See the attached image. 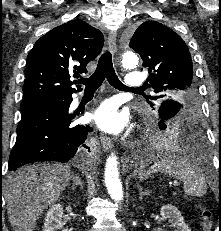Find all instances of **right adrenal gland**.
Segmentation results:
<instances>
[{
    "label": "right adrenal gland",
    "instance_id": "obj_1",
    "mask_svg": "<svg viewBox=\"0 0 221 231\" xmlns=\"http://www.w3.org/2000/svg\"><path fill=\"white\" fill-rule=\"evenodd\" d=\"M72 181H73L72 184L73 190H75L77 186H80L81 190L83 189V182L77 175L72 174Z\"/></svg>",
    "mask_w": 221,
    "mask_h": 231
}]
</instances>
